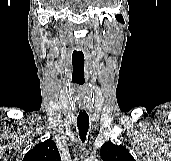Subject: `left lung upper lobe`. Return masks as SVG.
<instances>
[{
	"label": "left lung upper lobe",
	"mask_w": 171,
	"mask_h": 161,
	"mask_svg": "<svg viewBox=\"0 0 171 161\" xmlns=\"http://www.w3.org/2000/svg\"><path fill=\"white\" fill-rule=\"evenodd\" d=\"M100 155L103 161H135L125 147L115 145L112 142L102 145Z\"/></svg>",
	"instance_id": "5c2ea615"
}]
</instances>
